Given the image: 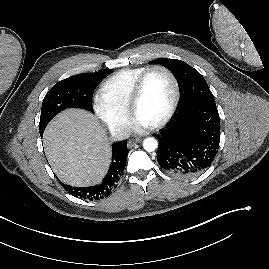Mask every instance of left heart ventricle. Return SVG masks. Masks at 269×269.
<instances>
[{"label":"left heart ventricle","mask_w":269,"mask_h":269,"mask_svg":"<svg viewBox=\"0 0 269 269\" xmlns=\"http://www.w3.org/2000/svg\"><path fill=\"white\" fill-rule=\"evenodd\" d=\"M174 97V87L170 77L163 71L152 72L137 106L136 119L153 125L167 113Z\"/></svg>","instance_id":"obj_1"}]
</instances>
